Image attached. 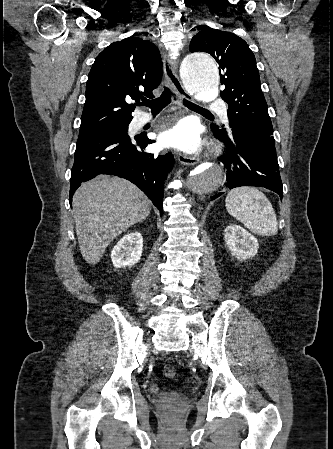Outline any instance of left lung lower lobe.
<instances>
[{"instance_id":"left-lung-lower-lobe-1","label":"left lung lower lobe","mask_w":333,"mask_h":449,"mask_svg":"<svg viewBox=\"0 0 333 449\" xmlns=\"http://www.w3.org/2000/svg\"><path fill=\"white\" fill-rule=\"evenodd\" d=\"M216 138L227 146L226 155L220 159L227 171L226 186L265 187L283 196L275 146L249 133L231 134L230 137L213 131ZM223 193L215 194V200Z\"/></svg>"}]
</instances>
